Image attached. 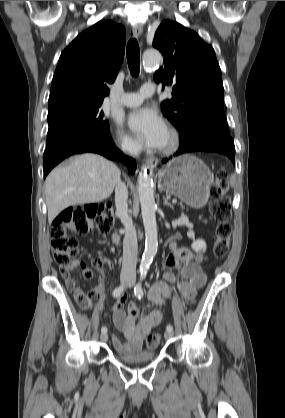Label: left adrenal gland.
<instances>
[{
	"instance_id": "obj_1",
	"label": "left adrenal gland",
	"mask_w": 285,
	"mask_h": 418,
	"mask_svg": "<svg viewBox=\"0 0 285 418\" xmlns=\"http://www.w3.org/2000/svg\"><path fill=\"white\" fill-rule=\"evenodd\" d=\"M163 204L171 207L173 209V205L169 202V200L165 197H163Z\"/></svg>"
}]
</instances>
